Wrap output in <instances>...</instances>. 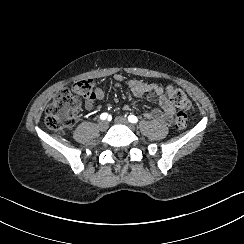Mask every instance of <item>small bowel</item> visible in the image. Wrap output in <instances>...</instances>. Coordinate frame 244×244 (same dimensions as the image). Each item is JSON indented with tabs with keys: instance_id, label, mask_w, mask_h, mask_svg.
Here are the masks:
<instances>
[{
	"instance_id": "c3829d8e",
	"label": "small bowel",
	"mask_w": 244,
	"mask_h": 244,
	"mask_svg": "<svg viewBox=\"0 0 244 244\" xmlns=\"http://www.w3.org/2000/svg\"><path fill=\"white\" fill-rule=\"evenodd\" d=\"M115 79L119 83H125L134 97L146 96L151 104L159 106V108H154L150 111L145 112V118L160 122L162 124L171 123L175 114V109L167 100L164 93V88L162 86L155 83L144 82L138 79L126 80V78L122 74H117L115 76ZM104 99V89L101 86L96 87L92 97L88 98L85 101V109L87 111H92L94 109V100L101 101ZM124 110L130 111L131 106H124Z\"/></svg>"
}]
</instances>
